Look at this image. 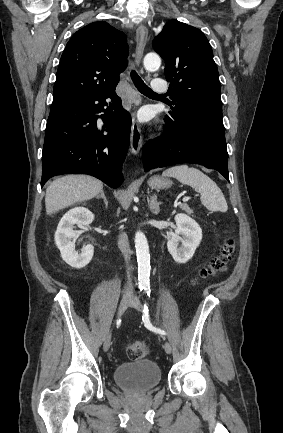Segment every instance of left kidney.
Masks as SVG:
<instances>
[{
  "mask_svg": "<svg viewBox=\"0 0 283 433\" xmlns=\"http://www.w3.org/2000/svg\"><path fill=\"white\" fill-rule=\"evenodd\" d=\"M175 222V232L168 240L167 248L175 262L186 263L202 240V229L194 219L183 213L175 216Z\"/></svg>",
  "mask_w": 283,
  "mask_h": 433,
  "instance_id": "5707ae66",
  "label": "left kidney"
}]
</instances>
